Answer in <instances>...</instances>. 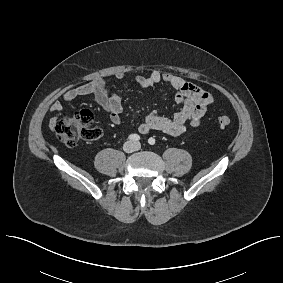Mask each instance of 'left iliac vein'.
<instances>
[{
  "mask_svg": "<svg viewBox=\"0 0 283 283\" xmlns=\"http://www.w3.org/2000/svg\"><path fill=\"white\" fill-rule=\"evenodd\" d=\"M135 149L139 150L141 148V144L139 142H135Z\"/></svg>",
  "mask_w": 283,
  "mask_h": 283,
  "instance_id": "obj_1",
  "label": "left iliac vein"
}]
</instances>
